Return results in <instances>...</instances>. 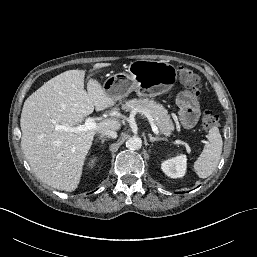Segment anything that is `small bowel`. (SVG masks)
<instances>
[{
  "label": "small bowel",
  "instance_id": "1",
  "mask_svg": "<svg viewBox=\"0 0 257 257\" xmlns=\"http://www.w3.org/2000/svg\"><path fill=\"white\" fill-rule=\"evenodd\" d=\"M179 106V120L185 128L195 125L199 116V103L196 96L190 91L181 92L177 97Z\"/></svg>",
  "mask_w": 257,
  "mask_h": 257
}]
</instances>
